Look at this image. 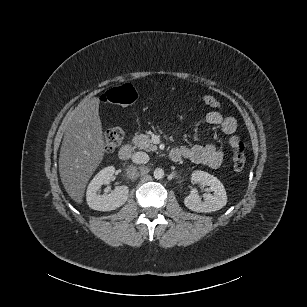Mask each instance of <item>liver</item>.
Listing matches in <instances>:
<instances>
[{"mask_svg": "<svg viewBox=\"0 0 307 307\" xmlns=\"http://www.w3.org/2000/svg\"><path fill=\"white\" fill-rule=\"evenodd\" d=\"M99 96L83 100L64 119L66 132L59 155V175L66 193L78 205L105 157L103 125Z\"/></svg>", "mask_w": 307, "mask_h": 307, "instance_id": "1", "label": "liver"}]
</instances>
